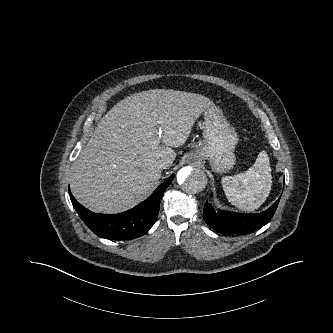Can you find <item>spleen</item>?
Masks as SVG:
<instances>
[{"label":"spleen","mask_w":333,"mask_h":333,"mask_svg":"<svg viewBox=\"0 0 333 333\" xmlns=\"http://www.w3.org/2000/svg\"><path fill=\"white\" fill-rule=\"evenodd\" d=\"M228 201L244 211L258 209L267 199L272 186L271 167L266 151H261L245 173L221 180Z\"/></svg>","instance_id":"3e777b00"}]
</instances>
